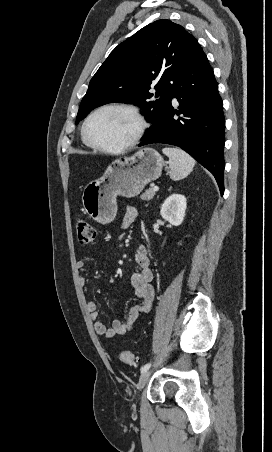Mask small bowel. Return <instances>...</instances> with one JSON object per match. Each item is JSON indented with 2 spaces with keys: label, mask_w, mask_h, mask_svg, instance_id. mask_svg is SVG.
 I'll use <instances>...</instances> for the list:
<instances>
[{
  "label": "small bowel",
  "mask_w": 272,
  "mask_h": 452,
  "mask_svg": "<svg viewBox=\"0 0 272 452\" xmlns=\"http://www.w3.org/2000/svg\"><path fill=\"white\" fill-rule=\"evenodd\" d=\"M137 217V208L129 206L126 209L122 227H130ZM135 263L138 270L132 275L131 283L135 289L136 295L141 299V302L130 308L123 319L115 320L111 327H107L100 320V314L97 310L96 303L94 301H89L87 303V309L90 312L91 318L94 320V330L100 336L114 338L118 335L128 334L133 329L138 318L141 315L149 313L153 306L155 298V290L152 285L153 271L150 267L147 247L143 244L138 245L136 248ZM76 266L77 269L82 270L86 267V263L80 260L77 262ZM79 282L82 286H85L87 284V278L81 276Z\"/></svg>",
  "instance_id": "c3829d8e"
}]
</instances>
